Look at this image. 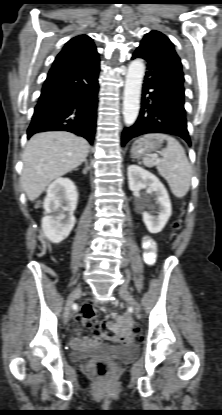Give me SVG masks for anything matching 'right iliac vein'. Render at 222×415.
<instances>
[{"label":"right iliac vein","mask_w":222,"mask_h":415,"mask_svg":"<svg viewBox=\"0 0 222 415\" xmlns=\"http://www.w3.org/2000/svg\"><path fill=\"white\" fill-rule=\"evenodd\" d=\"M81 294V288L78 287L76 288L67 298L66 300V305H65V310H64V319L67 320L72 308V305L74 303V301L80 296Z\"/></svg>","instance_id":"right-iliac-vein-1"}]
</instances>
